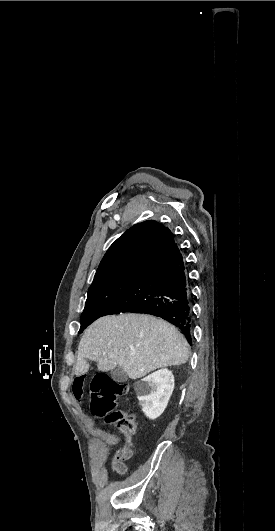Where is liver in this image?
Returning <instances> with one entry per match:
<instances>
[{
    "instance_id": "1",
    "label": "liver",
    "mask_w": 275,
    "mask_h": 531,
    "mask_svg": "<svg viewBox=\"0 0 275 531\" xmlns=\"http://www.w3.org/2000/svg\"><path fill=\"white\" fill-rule=\"evenodd\" d=\"M187 347L178 329L152 315L101 317L79 343L75 375H85L90 367L87 361H96L99 371L119 365L129 379H141L155 369L187 363Z\"/></svg>"
}]
</instances>
